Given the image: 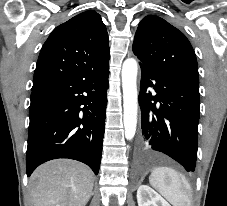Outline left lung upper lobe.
<instances>
[{
    "label": "left lung upper lobe",
    "mask_w": 227,
    "mask_h": 206,
    "mask_svg": "<svg viewBox=\"0 0 227 206\" xmlns=\"http://www.w3.org/2000/svg\"><path fill=\"white\" fill-rule=\"evenodd\" d=\"M132 50L142 66L199 82L197 60L189 40L158 16L148 15L139 23Z\"/></svg>",
    "instance_id": "5c2ea615"
}]
</instances>
